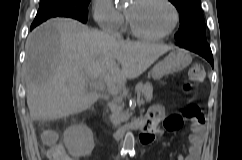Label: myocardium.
Wrapping results in <instances>:
<instances>
[{"label":"myocardium","instance_id":"obj_1","mask_svg":"<svg viewBox=\"0 0 242 160\" xmlns=\"http://www.w3.org/2000/svg\"><path fill=\"white\" fill-rule=\"evenodd\" d=\"M166 4L169 5V7L172 9L173 14H174V21L172 26L164 33L157 34V35H149V34H144L140 32L135 25L133 24L131 18L129 15L126 13V19H127V24L128 28L133 36H135L138 39L141 40H146V41H158L167 38L170 36L178 27L179 22H180V13L177 8V6L174 4L172 0H163Z\"/></svg>","mask_w":242,"mask_h":160}]
</instances>
